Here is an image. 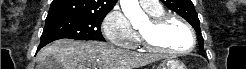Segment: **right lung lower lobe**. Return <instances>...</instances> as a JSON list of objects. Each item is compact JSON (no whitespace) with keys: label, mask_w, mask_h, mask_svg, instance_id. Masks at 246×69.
<instances>
[{"label":"right lung lower lobe","mask_w":246,"mask_h":69,"mask_svg":"<svg viewBox=\"0 0 246 69\" xmlns=\"http://www.w3.org/2000/svg\"><path fill=\"white\" fill-rule=\"evenodd\" d=\"M52 41H54V40H45V41H41L40 44H39L38 50H39L40 48L44 47L45 45H47L48 43L52 42Z\"/></svg>","instance_id":"right-lung-lower-lobe-1"}]
</instances>
